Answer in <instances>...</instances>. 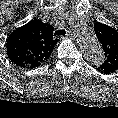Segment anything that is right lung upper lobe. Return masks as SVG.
Listing matches in <instances>:
<instances>
[{
    "label": "right lung upper lobe",
    "mask_w": 118,
    "mask_h": 118,
    "mask_svg": "<svg viewBox=\"0 0 118 118\" xmlns=\"http://www.w3.org/2000/svg\"><path fill=\"white\" fill-rule=\"evenodd\" d=\"M57 42L58 39L53 37V27L34 19L9 35L7 55L14 64L32 69L50 57Z\"/></svg>",
    "instance_id": "1"
}]
</instances>
